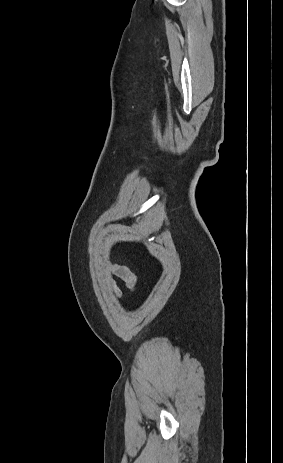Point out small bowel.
Segmentation results:
<instances>
[{"instance_id":"obj_1","label":"small bowel","mask_w":283,"mask_h":463,"mask_svg":"<svg viewBox=\"0 0 283 463\" xmlns=\"http://www.w3.org/2000/svg\"><path fill=\"white\" fill-rule=\"evenodd\" d=\"M108 272L113 275V278H110L107 281L108 288L115 298H119L121 296V289L118 286L116 279L125 282L129 289L134 287L132 274L126 268L113 266Z\"/></svg>"}]
</instances>
